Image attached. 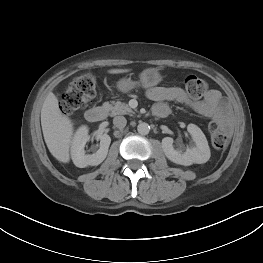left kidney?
I'll return each instance as SVG.
<instances>
[{"label": "left kidney", "instance_id": "obj_1", "mask_svg": "<svg viewBox=\"0 0 263 263\" xmlns=\"http://www.w3.org/2000/svg\"><path fill=\"white\" fill-rule=\"evenodd\" d=\"M187 130L195 142V146L182 152L173 147V139L171 137H165L162 139V148L166 157L170 161L184 166L207 162L210 158V149L204 133L195 124H189Z\"/></svg>", "mask_w": 263, "mask_h": 263}]
</instances>
